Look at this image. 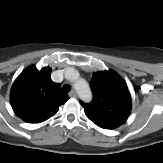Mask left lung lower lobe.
<instances>
[{
  "label": "left lung lower lobe",
  "instance_id": "1",
  "mask_svg": "<svg viewBox=\"0 0 163 163\" xmlns=\"http://www.w3.org/2000/svg\"><path fill=\"white\" fill-rule=\"evenodd\" d=\"M101 128H104V129H114L115 127H110V126H99Z\"/></svg>",
  "mask_w": 163,
  "mask_h": 163
}]
</instances>
